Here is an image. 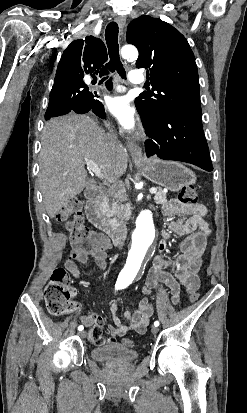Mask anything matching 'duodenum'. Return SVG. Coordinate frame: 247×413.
<instances>
[{"instance_id": "1", "label": "duodenum", "mask_w": 247, "mask_h": 413, "mask_svg": "<svg viewBox=\"0 0 247 413\" xmlns=\"http://www.w3.org/2000/svg\"><path fill=\"white\" fill-rule=\"evenodd\" d=\"M106 196V190L102 186H95L87 191L86 217L95 228L105 233L115 245H119L122 241L120 233L103 216Z\"/></svg>"}]
</instances>
